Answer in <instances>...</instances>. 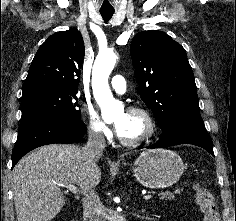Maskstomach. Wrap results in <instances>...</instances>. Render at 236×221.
I'll list each match as a JSON object with an SVG mask.
<instances>
[{"label":"stomach","instance_id":"1","mask_svg":"<svg viewBox=\"0 0 236 221\" xmlns=\"http://www.w3.org/2000/svg\"><path fill=\"white\" fill-rule=\"evenodd\" d=\"M184 171L180 156L166 149L143 151L133 163L136 179L145 187L167 188L175 184Z\"/></svg>","mask_w":236,"mask_h":221}]
</instances>
